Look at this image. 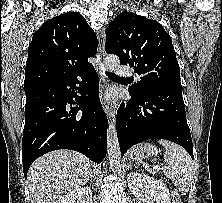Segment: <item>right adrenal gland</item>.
Listing matches in <instances>:
<instances>
[{"label": "right adrenal gland", "mask_w": 222, "mask_h": 203, "mask_svg": "<svg viewBox=\"0 0 222 203\" xmlns=\"http://www.w3.org/2000/svg\"><path fill=\"white\" fill-rule=\"evenodd\" d=\"M93 177H94V176H93V174L91 173V174H90V183H92Z\"/></svg>", "instance_id": "2a0ac1e0"}]
</instances>
